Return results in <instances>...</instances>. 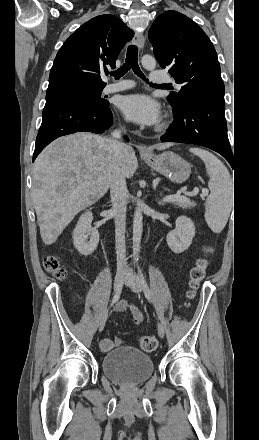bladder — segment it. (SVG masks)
<instances>
[{
  "instance_id": "1",
  "label": "bladder",
  "mask_w": 259,
  "mask_h": 440,
  "mask_svg": "<svg viewBox=\"0 0 259 440\" xmlns=\"http://www.w3.org/2000/svg\"><path fill=\"white\" fill-rule=\"evenodd\" d=\"M101 365L108 379L123 386L142 384L154 372L150 356L133 347H120L106 353Z\"/></svg>"
}]
</instances>
